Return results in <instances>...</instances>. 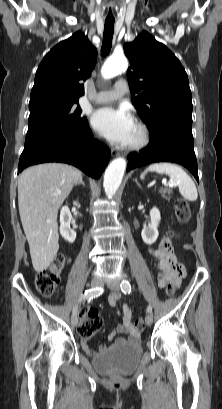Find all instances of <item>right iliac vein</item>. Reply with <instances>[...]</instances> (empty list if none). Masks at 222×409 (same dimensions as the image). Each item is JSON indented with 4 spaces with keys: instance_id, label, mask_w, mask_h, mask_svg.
<instances>
[{
    "instance_id": "63e3f726",
    "label": "right iliac vein",
    "mask_w": 222,
    "mask_h": 409,
    "mask_svg": "<svg viewBox=\"0 0 222 409\" xmlns=\"http://www.w3.org/2000/svg\"><path fill=\"white\" fill-rule=\"evenodd\" d=\"M103 283H104V280H103L102 278L96 277V278H94V279L91 281V287L97 288V287L102 286ZM71 324H72L73 326H77V324H78V319H77L76 315H72V317H71Z\"/></svg>"
}]
</instances>
